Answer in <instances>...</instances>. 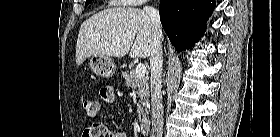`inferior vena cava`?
Wrapping results in <instances>:
<instances>
[{
    "instance_id": "obj_1",
    "label": "inferior vena cava",
    "mask_w": 280,
    "mask_h": 137,
    "mask_svg": "<svg viewBox=\"0 0 280 137\" xmlns=\"http://www.w3.org/2000/svg\"><path fill=\"white\" fill-rule=\"evenodd\" d=\"M143 11L148 15L152 26V46L150 52L151 67V107H152V135L151 137H162L163 135V106H162V45H161V22L159 12L152 6H145Z\"/></svg>"
}]
</instances>
